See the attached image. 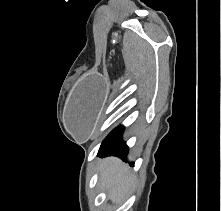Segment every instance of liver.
<instances>
[{
	"instance_id": "obj_1",
	"label": "liver",
	"mask_w": 221,
	"mask_h": 211,
	"mask_svg": "<svg viewBox=\"0 0 221 211\" xmlns=\"http://www.w3.org/2000/svg\"><path fill=\"white\" fill-rule=\"evenodd\" d=\"M99 171V181L108 190L109 198L118 202L133 181L129 168L120 159L111 157L101 161Z\"/></svg>"
}]
</instances>
